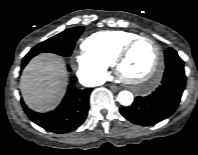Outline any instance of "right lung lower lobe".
I'll return each mask as SVG.
<instances>
[{"instance_id": "98d812e1", "label": "right lung lower lobe", "mask_w": 198, "mask_h": 155, "mask_svg": "<svg viewBox=\"0 0 198 155\" xmlns=\"http://www.w3.org/2000/svg\"><path fill=\"white\" fill-rule=\"evenodd\" d=\"M29 60H23L22 69ZM91 91L92 89L81 90L74 86H69L62 103L49 113L34 112L25 104H23V108L28 117L45 130L53 133H66L75 130L85 121L89 109Z\"/></svg>"}]
</instances>
